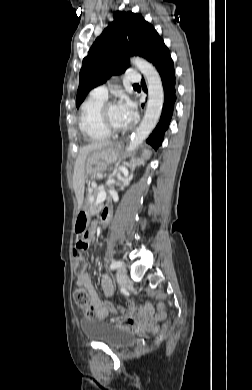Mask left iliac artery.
<instances>
[{
    "label": "left iliac artery",
    "mask_w": 252,
    "mask_h": 390,
    "mask_svg": "<svg viewBox=\"0 0 252 390\" xmlns=\"http://www.w3.org/2000/svg\"><path fill=\"white\" fill-rule=\"evenodd\" d=\"M122 266V262L117 260V261H113L110 265V269L111 270H114V269H117V268H120Z\"/></svg>",
    "instance_id": "obj_1"
}]
</instances>
